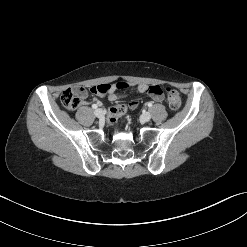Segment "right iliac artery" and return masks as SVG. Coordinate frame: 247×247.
Masks as SVG:
<instances>
[{
  "label": "right iliac artery",
  "instance_id": "obj_1",
  "mask_svg": "<svg viewBox=\"0 0 247 247\" xmlns=\"http://www.w3.org/2000/svg\"><path fill=\"white\" fill-rule=\"evenodd\" d=\"M97 107H98V106H97L96 104H93V105H92V108H93V109H97Z\"/></svg>",
  "mask_w": 247,
  "mask_h": 247
}]
</instances>
